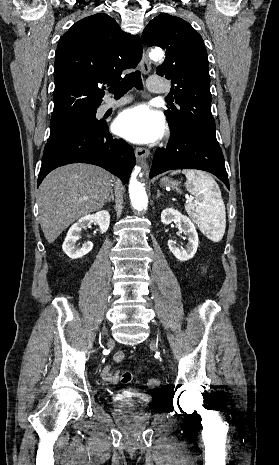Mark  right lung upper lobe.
I'll use <instances>...</instances> for the list:
<instances>
[{
	"label": "right lung upper lobe",
	"instance_id": "cb5924a9",
	"mask_svg": "<svg viewBox=\"0 0 279 465\" xmlns=\"http://www.w3.org/2000/svg\"><path fill=\"white\" fill-rule=\"evenodd\" d=\"M142 58L139 36L121 30L104 13L75 23L61 38L55 55L54 109L51 126L97 109L105 85Z\"/></svg>",
	"mask_w": 279,
	"mask_h": 465
}]
</instances>
